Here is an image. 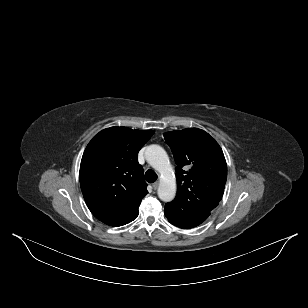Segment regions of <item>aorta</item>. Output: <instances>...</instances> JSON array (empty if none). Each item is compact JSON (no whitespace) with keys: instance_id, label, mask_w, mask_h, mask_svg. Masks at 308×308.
Listing matches in <instances>:
<instances>
[{"instance_id":"762f6f07","label":"aorta","mask_w":308,"mask_h":308,"mask_svg":"<svg viewBox=\"0 0 308 308\" xmlns=\"http://www.w3.org/2000/svg\"><path fill=\"white\" fill-rule=\"evenodd\" d=\"M147 162L161 174L158 196L170 202L176 195V180L166 151L159 145H150L145 152Z\"/></svg>"}]
</instances>
